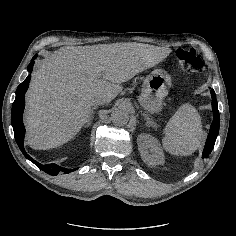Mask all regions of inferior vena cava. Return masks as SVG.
Here are the masks:
<instances>
[{
  "label": "inferior vena cava",
  "mask_w": 236,
  "mask_h": 236,
  "mask_svg": "<svg viewBox=\"0 0 236 236\" xmlns=\"http://www.w3.org/2000/svg\"><path fill=\"white\" fill-rule=\"evenodd\" d=\"M105 102H107V99H102L98 103L94 102L93 105H95V104H104Z\"/></svg>",
  "instance_id": "inferior-vena-cava-1"
}]
</instances>
